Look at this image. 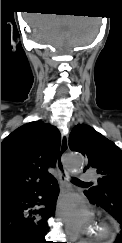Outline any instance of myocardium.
<instances>
[{
  "instance_id": "obj_1",
  "label": "myocardium",
  "mask_w": 122,
  "mask_h": 243,
  "mask_svg": "<svg viewBox=\"0 0 122 243\" xmlns=\"http://www.w3.org/2000/svg\"><path fill=\"white\" fill-rule=\"evenodd\" d=\"M110 228L104 221H99L95 225L93 236L95 238H105L109 235Z\"/></svg>"
}]
</instances>
